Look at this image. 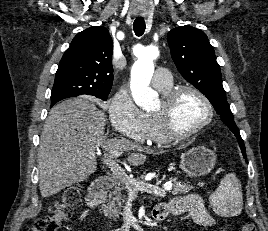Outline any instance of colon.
<instances>
[{"mask_svg":"<svg viewBox=\"0 0 268 231\" xmlns=\"http://www.w3.org/2000/svg\"><path fill=\"white\" fill-rule=\"evenodd\" d=\"M79 199L80 191L77 187L66 189L61 199L50 205L49 214L38 218L30 231H58L62 222L71 215L72 209ZM243 231H257L255 223L246 222Z\"/></svg>","mask_w":268,"mask_h":231,"instance_id":"obj_1","label":"colon"}]
</instances>
